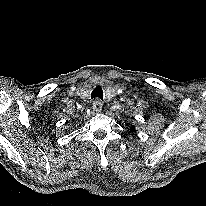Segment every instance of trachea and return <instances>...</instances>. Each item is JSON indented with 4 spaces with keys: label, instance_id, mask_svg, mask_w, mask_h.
Returning a JSON list of instances; mask_svg holds the SVG:
<instances>
[{
    "label": "trachea",
    "instance_id": "1",
    "mask_svg": "<svg viewBox=\"0 0 206 206\" xmlns=\"http://www.w3.org/2000/svg\"><path fill=\"white\" fill-rule=\"evenodd\" d=\"M95 98L103 100V90L99 85L96 86L91 93V99H95Z\"/></svg>",
    "mask_w": 206,
    "mask_h": 206
}]
</instances>
